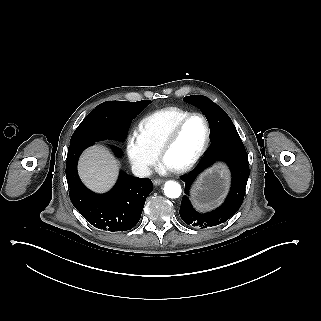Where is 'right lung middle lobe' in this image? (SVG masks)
<instances>
[{
  "mask_svg": "<svg viewBox=\"0 0 321 321\" xmlns=\"http://www.w3.org/2000/svg\"><path fill=\"white\" fill-rule=\"evenodd\" d=\"M144 109L151 103L150 100L132 102ZM97 107L90 112L73 133L70 145L81 141H102L109 139L108 128L103 120L97 115Z\"/></svg>",
  "mask_w": 321,
  "mask_h": 321,
  "instance_id": "obj_1",
  "label": "right lung middle lobe"
}]
</instances>
